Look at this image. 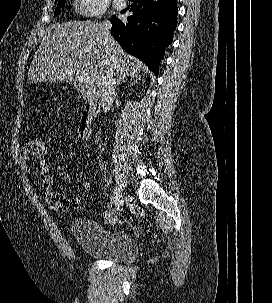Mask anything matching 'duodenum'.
<instances>
[{"mask_svg":"<svg viewBox=\"0 0 272 303\" xmlns=\"http://www.w3.org/2000/svg\"><path fill=\"white\" fill-rule=\"evenodd\" d=\"M94 111L95 105L93 103H88L83 109L77 129V135L81 140H84L88 134L90 124L93 120Z\"/></svg>","mask_w":272,"mask_h":303,"instance_id":"obj_1","label":"duodenum"}]
</instances>
